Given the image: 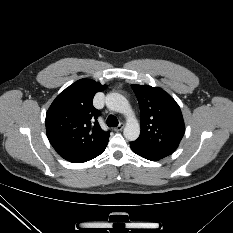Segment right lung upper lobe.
<instances>
[{
  "instance_id": "obj_1",
  "label": "right lung upper lobe",
  "mask_w": 233,
  "mask_h": 233,
  "mask_svg": "<svg viewBox=\"0 0 233 233\" xmlns=\"http://www.w3.org/2000/svg\"><path fill=\"white\" fill-rule=\"evenodd\" d=\"M105 88L94 80H78L61 92L48 109L47 137L65 160L86 162L107 145L110 134L101 129L97 121L100 112L92 104L94 95Z\"/></svg>"
}]
</instances>
